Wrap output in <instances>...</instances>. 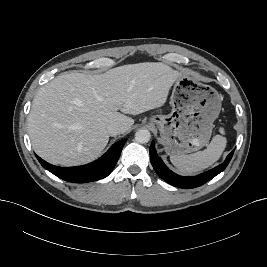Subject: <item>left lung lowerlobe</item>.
I'll list each match as a JSON object with an SVG mask.
<instances>
[{"instance_id":"left-lung-lower-lobe-1","label":"left lung lower lobe","mask_w":267,"mask_h":267,"mask_svg":"<svg viewBox=\"0 0 267 267\" xmlns=\"http://www.w3.org/2000/svg\"><path fill=\"white\" fill-rule=\"evenodd\" d=\"M150 161L151 164L158 174L160 178L165 180L167 183L183 188V189H191V188H196L199 187L209 180H211L213 177L218 175L220 172H222L227 165L229 164L234 150L227 156L226 160L218 165L217 167L213 168L212 170H209L207 172H204L202 174H199L197 176L193 177H183L175 174L172 172L162 161V159L157 155L156 150H155V144L152 141L151 146H150Z\"/></svg>"}]
</instances>
